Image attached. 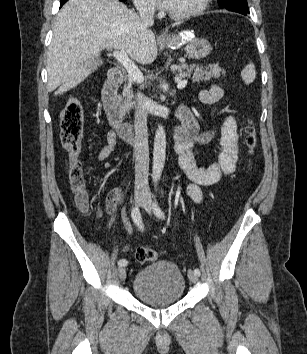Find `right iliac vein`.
<instances>
[{"instance_id": "63e3f726", "label": "right iliac vein", "mask_w": 307, "mask_h": 354, "mask_svg": "<svg viewBox=\"0 0 307 354\" xmlns=\"http://www.w3.org/2000/svg\"><path fill=\"white\" fill-rule=\"evenodd\" d=\"M145 201V197L141 194L136 195L135 197V203L137 206H142ZM118 275L120 280H125L126 278V269L124 267H119L118 269Z\"/></svg>"}]
</instances>
